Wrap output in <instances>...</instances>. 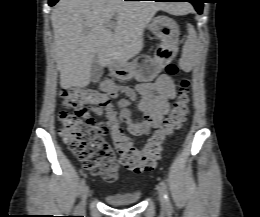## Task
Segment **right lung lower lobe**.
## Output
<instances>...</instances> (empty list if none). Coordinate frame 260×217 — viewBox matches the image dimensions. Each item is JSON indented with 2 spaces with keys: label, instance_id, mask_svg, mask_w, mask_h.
I'll return each mask as SVG.
<instances>
[{
  "label": "right lung lower lobe",
  "instance_id": "1",
  "mask_svg": "<svg viewBox=\"0 0 260 217\" xmlns=\"http://www.w3.org/2000/svg\"><path fill=\"white\" fill-rule=\"evenodd\" d=\"M59 0H49V5L53 6L55 3H57ZM127 1V0H126Z\"/></svg>",
  "mask_w": 260,
  "mask_h": 217
}]
</instances>
